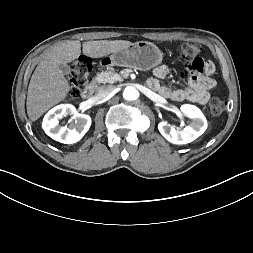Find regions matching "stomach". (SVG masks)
<instances>
[{
  "label": "stomach",
  "mask_w": 253,
  "mask_h": 253,
  "mask_svg": "<svg viewBox=\"0 0 253 253\" xmlns=\"http://www.w3.org/2000/svg\"><path fill=\"white\" fill-rule=\"evenodd\" d=\"M162 58L163 54L155 44L138 41L105 57L102 66L130 67L145 71L159 65Z\"/></svg>",
  "instance_id": "obj_1"
}]
</instances>
